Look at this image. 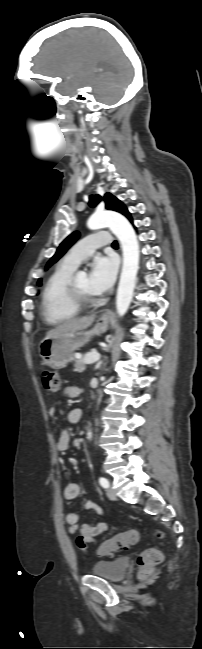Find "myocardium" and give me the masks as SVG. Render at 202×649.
Here are the masks:
<instances>
[{"label":"myocardium","instance_id":"f54148a6","mask_svg":"<svg viewBox=\"0 0 202 649\" xmlns=\"http://www.w3.org/2000/svg\"><path fill=\"white\" fill-rule=\"evenodd\" d=\"M76 278L72 277L68 283L67 292L71 301L80 309L92 307L96 304L93 294L83 293L76 284Z\"/></svg>","mask_w":202,"mask_h":649}]
</instances>
